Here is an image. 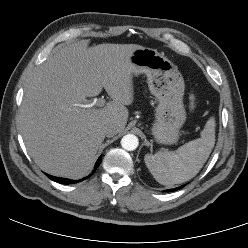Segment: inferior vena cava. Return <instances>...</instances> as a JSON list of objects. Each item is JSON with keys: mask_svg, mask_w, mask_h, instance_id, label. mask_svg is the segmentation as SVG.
Wrapping results in <instances>:
<instances>
[{"mask_svg": "<svg viewBox=\"0 0 248 248\" xmlns=\"http://www.w3.org/2000/svg\"><path fill=\"white\" fill-rule=\"evenodd\" d=\"M118 127L114 124H107L103 127V132L106 137H113L118 133Z\"/></svg>", "mask_w": 248, "mask_h": 248, "instance_id": "obj_1", "label": "inferior vena cava"}]
</instances>
